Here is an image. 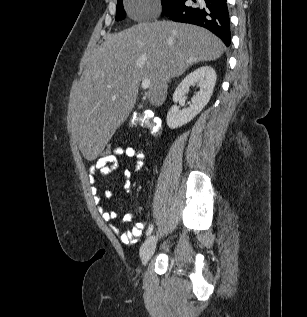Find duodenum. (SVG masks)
Masks as SVG:
<instances>
[{"mask_svg":"<svg viewBox=\"0 0 307 317\" xmlns=\"http://www.w3.org/2000/svg\"><path fill=\"white\" fill-rule=\"evenodd\" d=\"M148 121H154L152 118H149V120Z\"/></svg>","mask_w":307,"mask_h":317,"instance_id":"410a0bca","label":"duodenum"}]
</instances>
